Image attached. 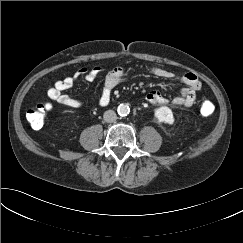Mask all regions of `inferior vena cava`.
<instances>
[{
  "label": "inferior vena cava",
  "mask_w": 243,
  "mask_h": 243,
  "mask_svg": "<svg viewBox=\"0 0 243 243\" xmlns=\"http://www.w3.org/2000/svg\"><path fill=\"white\" fill-rule=\"evenodd\" d=\"M104 121L107 123H112L116 120L117 116L113 110H107L103 115Z\"/></svg>",
  "instance_id": "inferior-vena-cava-1"
}]
</instances>
